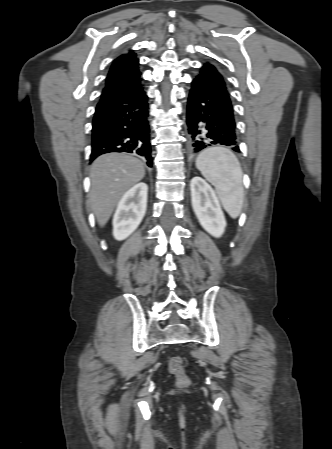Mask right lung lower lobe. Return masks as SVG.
Wrapping results in <instances>:
<instances>
[{"instance_id": "right-lung-lower-lobe-1", "label": "right lung lower lobe", "mask_w": 332, "mask_h": 449, "mask_svg": "<svg viewBox=\"0 0 332 449\" xmlns=\"http://www.w3.org/2000/svg\"><path fill=\"white\" fill-rule=\"evenodd\" d=\"M110 152L137 154L152 166L148 103L143 88L131 95L98 102L93 118L90 160Z\"/></svg>"}]
</instances>
